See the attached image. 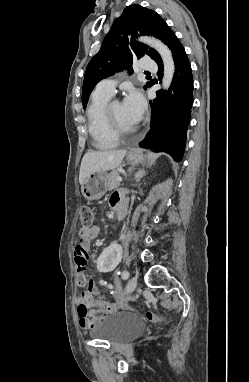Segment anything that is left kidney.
I'll list each match as a JSON object with an SVG mask.
<instances>
[{
	"mask_svg": "<svg viewBox=\"0 0 249 382\" xmlns=\"http://www.w3.org/2000/svg\"><path fill=\"white\" fill-rule=\"evenodd\" d=\"M123 251L124 246L118 245V243L105 245V253L93 260V267H98L99 273H115V267L122 266Z\"/></svg>",
	"mask_w": 249,
	"mask_h": 382,
	"instance_id": "left-kidney-1",
	"label": "left kidney"
}]
</instances>
